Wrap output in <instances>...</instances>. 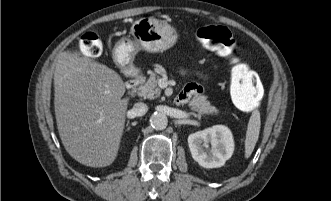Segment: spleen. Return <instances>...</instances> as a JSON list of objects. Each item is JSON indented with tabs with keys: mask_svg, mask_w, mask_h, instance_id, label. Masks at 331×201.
I'll use <instances>...</instances> for the list:
<instances>
[{
	"mask_svg": "<svg viewBox=\"0 0 331 201\" xmlns=\"http://www.w3.org/2000/svg\"><path fill=\"white\" fill-rule=\"evenodd\" d=\"M261 127L260 113L258 110H254L249 119L246 139H245V158H249L255 148V145L259 138V132Z\"/></svg>",
	"mask_w": 331,
	"mask_h": 201,
	"instance_id": "obj_1",
	"label": "spleen"
}]
</instances>
